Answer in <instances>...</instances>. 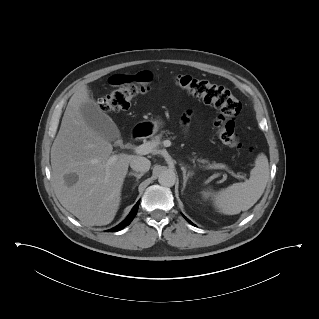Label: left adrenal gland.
<instances>
[{"label": "left adrenal gland", "mask_w": 319, "mask_h": 319, "mask_svg": "<svg viewBox=\"0 0 319 319\" xmlns=\"http://www.w3.org/2000/svg\"><path fill=\"white\" fill-rule=\"evenodd\" d=\"M181 170L183 172V189H184L186 186L187 180L189 179V177L193 175V172L192 171L187 172L184 166H181Z\"/></svg>", "instance_id": "a2214340"}]
</instances>
